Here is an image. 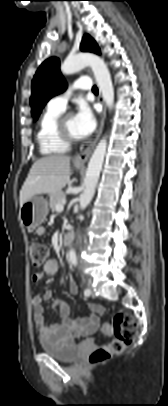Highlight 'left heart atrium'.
Instances as JSON below:
<instances>
[{
    "instance_id": "left-heart-atrium-1",
    "label": "left heart atrium",
    "mask_w": 168,
    "mask_h": 406,
    "mask_svg": "<svg viewBox=\"0 0 168 406\" xmlns=\"http://www.w3.org/2000/svg\"><path fill=\"white\" fill-rule=\"evenodd\" d=\"M74 122L80 138L91 135L96 128L95 116L86 104L79 105L74 115Z\"/></svg>"
}]
</instances>
